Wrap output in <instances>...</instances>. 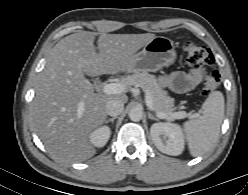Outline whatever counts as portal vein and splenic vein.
<instances>
[{
  "label": "portal vein and splenic vein",
  "instance_id": "portal-vein-and-splenic-vein-1",
  "mask_svg": "<svg viewBox=\"0 0 248 195\" xmlns=\"http://www.w3.org/2000/svg\"><path fill=\"white\" fill-rule=\"evenodd\" d=\"M127 87L128 86L124 83H109V84H105L102 87V92L105 94H121L126 92ZM145 101L147 107L153 111L154 110L153 100L148 91H145ZM82 110H83V105L80 106L79 112H82ZM157 116L162 119H170V120L192 117L190 114L186 113L185 111L174 112L171 113L169 116L164 113H157Z\"/></svg>",
  "mask_w": 248,
  "mask_h": 195
}]
</instances>
